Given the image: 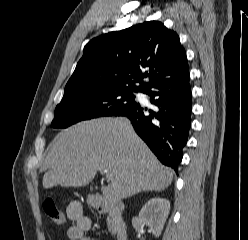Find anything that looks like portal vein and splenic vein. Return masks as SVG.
Masks as SVG:
<instances>
[{
  "label": "portal vein and splenic vein",
  "mask_w": 248,
  "mask_h": 240,
  "mask_svg": "<svg viewBox=\"0 0 248 240\" xmlns=\"http://www.w3.org/2000/svg\"><path fill=\"white\" fill-rule=\"evenodd\" d=\"M103 172L106 174L107 178L110 176V173L108 170L105 169V170H103Z\"/></svg>",
  "instance_id": "obj_1"
}]
</instances>
